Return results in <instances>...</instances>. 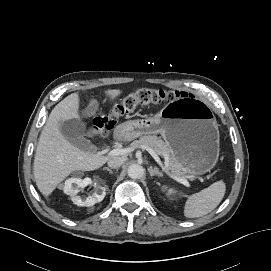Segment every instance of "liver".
Returning <instances> with one entry per match:
<instances>
[{
    "mask_svg": "<svg viewBox=\"0 0 271 271\" xmlns=\"http://www.w3.org/2000/svg\"><path fill=\"white\" fill-rule=\"evenodd\" d=\"M122 91L111 90L105 94L114 100ZM79 96H67L51 111L39 137L33 172L36 185L44 196H49L59 183L74 171H93L110 158L81 150L66 140L59 130V122L80 118Z\"/></svg>",
    "mask_w": 271,
    "mask_h": 271,
    "instance_id": "1",
    "label": "liver"
}]
</instances>
